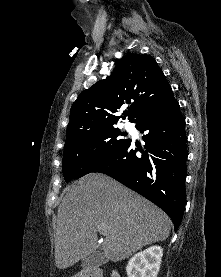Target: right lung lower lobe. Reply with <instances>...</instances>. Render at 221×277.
I'll use <instances>...</instances> for the list:
<instances>
[{
	"label": "right lung lower lobe",
	"instance_id": "right-lung-lower-lobe-1",
	"mask_svg": "<svg viewBox=\"0 0 221 277\" xmlns=\"http://www.w3.org/2000/svg\"><path fill=\"white\" fill-rule=\"evenodd\" d=\"M145 151L131 140L96 165L92 172L111 176L159 206L178 229L185 207L187 136L185 120L170 90L133 121ZM141 150V156H137Z\"/></svg>",
	"mask_w": 221,
	"mask_h": 277
}]
</instances>
